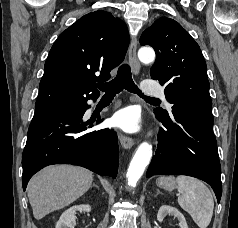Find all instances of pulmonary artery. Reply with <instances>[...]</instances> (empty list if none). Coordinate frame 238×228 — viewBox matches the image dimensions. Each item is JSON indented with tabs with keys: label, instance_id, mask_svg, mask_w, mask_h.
Instances as JSON below:
<instances>
[{
	"label": "pulmonary artery",
	"instance_id": "obj_1",
	"mask_svg": "<svg viewBox=\"0 0 238 228\" xmlns=\"http://www.w3.org/2000/svg\"><path fill=\"white\" fill-rule=\"evenodd\" d=\"M144 94L150 96H162L163 88L155 80L147 79L142 84Z\"/></svg>",
	"mask_w": 238,
	"mask_h": 228
}]
</instances>
